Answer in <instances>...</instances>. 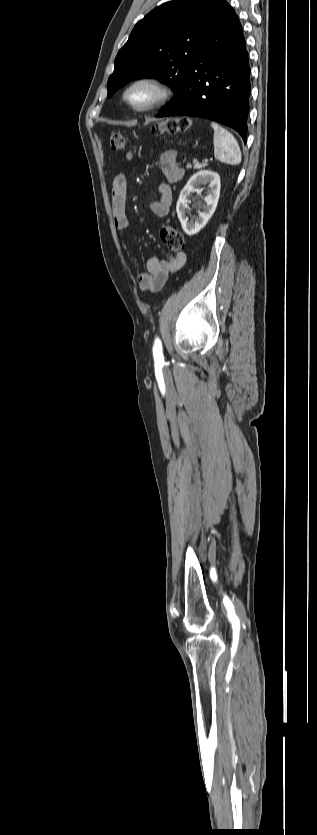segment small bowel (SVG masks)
<instances>
[{
  "mask_svg": "<svg viewBox=\"0 0 317 835\" xmlns=\"http://www.w3.org/2000/svg\"><path fill=\"white\" fill-rule=\"evenodd\" d=\"M161 169L165 180L158 186L159 199L150 205L151 211L157 217H165L170 211L173 193L172 184L180 182L184 175V169L178 164L176 152L168 150L160 159ZM127 180L123 173L117 174L112 181L111 189V215L115 228L118 231H125L129 226L125 211ZM187 259L184 251L177 253L171 259H160L152 257L147 261V272L137 275V283L141 290L155 292L165 284L168 275L182 268Z\"/></svg>",
  "mask_w": 317,
  "mask_h": 835,
  "instance_id": "small-bowel-1",
  "label": "small bowel"
}]
</instances>
